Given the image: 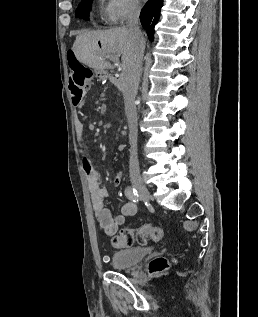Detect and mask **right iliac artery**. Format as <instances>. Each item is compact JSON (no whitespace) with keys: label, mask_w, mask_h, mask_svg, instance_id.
I'll return each mask as SVG.
<instances>
[{"label":"right iliac artery","mask_w":258,"mask_h":317,"mask_svg":"<svg viewBox=\"0 0 258 317\" xmlns=\"http://www.w3.org/2000/svg\"><path fill=\"white\" fill-rule=\"evenodd\" d=\"M125 195L129 200L139 205V194L134 187H131V186L126 187Z\"/></svg>","instance_id":"1"}]
</instances>
